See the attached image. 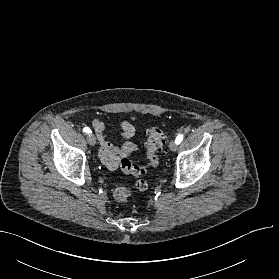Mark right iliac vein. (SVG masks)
Instances as JSON below:
<instances>
[{"label": "right iliac vein", "instance_id": "obj_1", "mask_svg": "<svg viewBox=\"0 0 279 279\" xmlns=\"http://www.w3.org/2000/svg\"><path fill=\"white\" fill-rule=\"evenodd\" d=\"M87 142L91 145V146H94L96 144V138L95 136L90 133L87 135Z\"/></svg>", "mask_w": 279, "mask_h": 279}]
</instances>
